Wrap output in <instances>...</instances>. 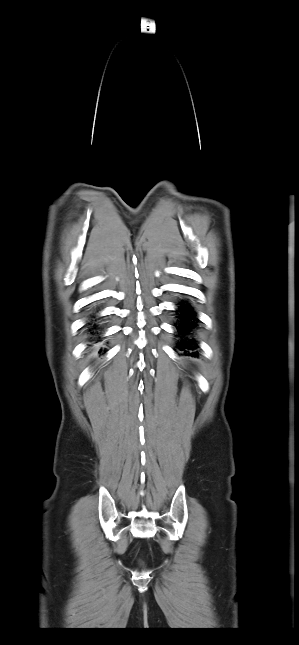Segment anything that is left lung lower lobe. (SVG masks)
Instances as JSON below:
<instances>
[{
	"label": "left lung lower lobe",
	"mask_w": 299,
	"mask_h": 645,
	"mask_svg": "<svg viewBox=\"0 0 299 645\" xmlns=\"http://www.w3.org/2000/svg\"><path fill=\"white\" fill-rule=\"evenodd\" d=\"M176 313L178 315V322L176 323L175 327L177 329L178 336L181 338V341L177 343L178 349L181 351L196 349L197 343L195 342V340L193 338L189 339L188 337H185L187 335H190L192 329L196 326V323L198 321L196 312L187 301H181L178 304Z\"/></svg>",
	"instance_id": "0a47b994"
}]
</instances>
